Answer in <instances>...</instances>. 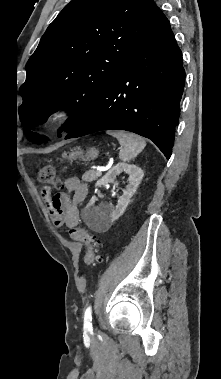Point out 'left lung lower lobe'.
<instances>
[{"label":"left lung lower lobe","mask_w":221,"mask_h":379,"mask_svg":"<svg viewBox=\"0 0 221 379\" xmlns=\"http://www.w3.org/2000/svg\"><path fill=\"white\" fill-rule=\"evenodd\" d=\"M184 83L182 52L163 14L65 139L101 130H127L151 139L169 159Z\"/></svg>","instance_id":"1"}]
</instances>
